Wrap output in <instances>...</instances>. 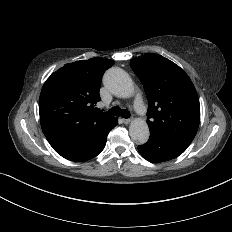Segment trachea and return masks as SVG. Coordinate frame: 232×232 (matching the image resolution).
I'll use <instances>...</instances> for the list:
<instances>
[{
	"instance_id": "trachea-1",
	"label": "trachea",
	"mask_w": 232,
	"mask_h": 232,
	"mask_svg": "<svg viewBox=\"0 0 232 232\" xmlns=\"http://www.w3.org/2000/svg\"><path fill=\"white\" fill-rule=\"evenodd\" d=\"M109 113L114 116H121L123 118H129L130 112L127 109H121L119 106H114L109 110Z\"/></svg>"
}]
</instances>
